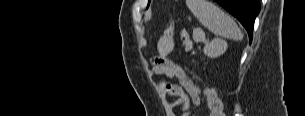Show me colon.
I'll use <instances>...</instances> for the list:
<instances>
[{
    "label": "colon",
    "mask_w": 305,
    "mask_h": 116,
    "mask_svg": "<svg viewBox=\"0 0 305 116\" xmlns=\"http://www.w3.org/2000/svg\"><path fill=\"white\" fill-rule=\"evenodd\" d=\"M204 94L209 102L210 116H225L222 101L216 91L209 86H204Z\"/></svg>",
    "instance_id": "colon-1"
}]
</instances>
